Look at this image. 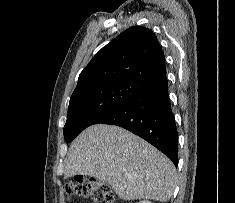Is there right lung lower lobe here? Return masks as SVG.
Returning a JSON list of instances; mask_svg holds the SVG:
<instances>
[{
	"instance_id": "98d812e1",
	"label": "right lung lower lobe",
	"mask_w": 235,
	"mask_h": 203,
	"mask_svg": "<svg viewBox=\"0 0 235 203\" xmlns=\"http://www.w3.org/2000/svg\"><path fill=\"white\" fill-rule=\"evenodd\" d=\"M98 123L116 125L131 131L155 146L178 166V134L166 75L103 115L95 122Z\"/></svg>"
}]
</instances>
